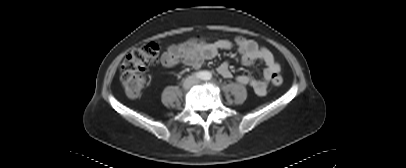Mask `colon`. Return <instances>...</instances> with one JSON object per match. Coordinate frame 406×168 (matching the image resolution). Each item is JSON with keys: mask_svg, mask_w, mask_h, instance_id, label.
Here are the masks:
<instances>
[{"mask_svg": "<svg viewBox=\"0 0 406 168\" xmlns=\"http://www.w3.org/2000/svg\"><path fill=\"white\" fill-rule=\"evenodd\" d=\"M160 44L157 41H150L131 52L123 61L120 69V81L131 98H137L148 85L146 71L149 66L158 62ZM274 86H280L283 78L279 73L271 77Z\"/></svg>", "mask_w": 406, "mask_h": 168, "instance_id": "obj_1", "label": "colon"}]
</instances>
